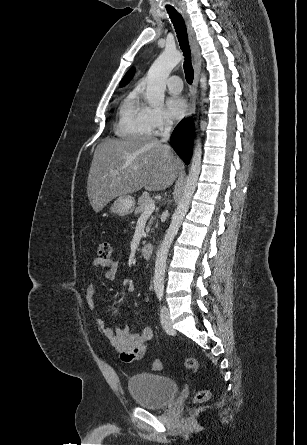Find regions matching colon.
<instances>
[{
	"mask_svg": "<svg viewBox=\"0 0 307 445\" xmlns=\"http://www.w3.org/2000/svg\"><path fill=\"white\" fill-rule=\"evenodd\" d=\"M112 254V246L108 242H101L97 246V255L100 259H109ZM185 367L189 370L196 371L198 368V363L194 358H187L185 360ZM153 369L159 371L162 369V362L160 360H155L153 362ZM209 392L207 390H200L195 396V400L198 403L205 402L209 398Z\"/></svg>",
	"mask_w": 307,
	"mask_h": 445,
	"instance_id": "5ec220e1",
	"label": "colon"
}]
</instances>
